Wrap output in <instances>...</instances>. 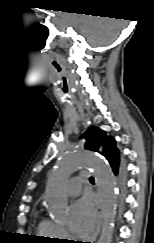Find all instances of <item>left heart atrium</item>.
<instances>
[{"label": "left heart atrium", "instance_id": "obj_1", "mask_svg": "<svg viewBox=\"0 0 154 243\" xmlns=\"http://www.w3.org/2000/svg\"><path fill=\"white\" fill-rule=\"evenodd\" d=\"M96 222L94 200L85 196L76 201L71 210L70 229L77 235L89 234Z\"/></svg>", "mask_w": 154, "mask_h": 243}]
</instances>
